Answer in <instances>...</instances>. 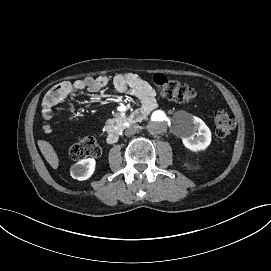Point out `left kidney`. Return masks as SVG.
<instances>
[{"label":"left kidney","instance_id":"obj_1","mask_svg":"<svg viewBox=\"0 0 271 271\" xmlns=\"http://www.w3.org/2000/svg\"><path fill=\"white\" fill-rule=\"evenodd\" d=\"M188 122L189 129L180 136L185 146L194 150L207 147L211 141V132L206 124L193 115H190Z\"/></svg>","mask_w":271,"mask_h":271}]
</instances>
